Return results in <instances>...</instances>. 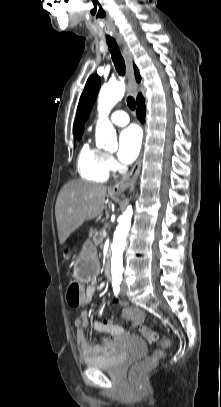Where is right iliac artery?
<instances>
[{"label": "right iliac artery", "instance_id": "right-iliac-artery-1", "mask_svg": "<svg viewBox=\"0 0 221 407\" xmlns=\"http://www.w3.org/2000/svg\"><path fill=\"white\" fill-rule=\"evenodd\" d=\"M120 282H113L112 286H113V291L115 295L119 294L120 291V287H119Z\"/></svg>", "mask_w": 221, "mask_h": 407}]
</instances>
